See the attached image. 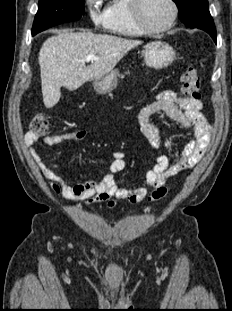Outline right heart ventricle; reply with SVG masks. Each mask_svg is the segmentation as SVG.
Returning a JSON list of instances; mask_svg holds the SVG:
<instances>
[{
	"label": "right heart ventricle",
	"instance_id": "1",
	"mask_svg": "<svg viewBox=\"0 0 232 311\" xmlns=\"http://www.w3.org/2000/svg\"><path fill=\"white\" fill-rule=\"evenodd\" d=\"M129 0H110L106 8L104 27L111 33L127 37H139L144 33L134 24Z\"/></svg>",
	"mask_w": 232,
	"mask_h": 311
}]
</instances>
